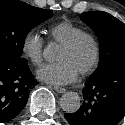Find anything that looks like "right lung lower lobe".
I'll use <instances>...</instances> for the list:
<instances>
[{
	"instance_id": "obj_1",
	"label": "right lung lower lobe",
	"mask_w": 125,
	"mask_h": 125,
	"mask_svg": "<svg viewBox=\"0 0 125 125\" xmlns=\"http://www.w3.org/2000/svg\"><path fill=\"white\" fill-rule=\"evenodd\" d=\"M36 84L25 59L13 63L0 55V123L10 121L21 112Z\"/></svg>"
}]
</instances>
